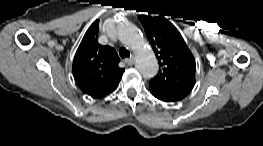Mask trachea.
I'll list each match as a JSON object with an SVG mask.
<instances>
[{
  "mask_svg": "<svg viewBox=\"0 0 263 146\" xmlns=\"http://www.w3.org/2000/svg\"><path fill=\"white\" fill-rule=\"evenodd\" d=\"M119 55L121 56V58H128L130 57V52L123 47L119 50Z\"/></svg>",
  "mask_w": 263,
  "mask_h": 146,
  "instance_id": "obj_1",
  "label": "trachea"
}]
</instances>
